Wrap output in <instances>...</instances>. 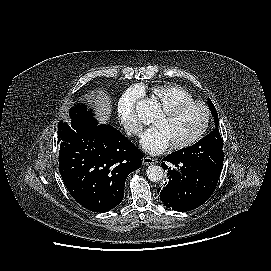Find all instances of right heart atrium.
<instances>
[{"instance_id": "obj_1", "label": "right heart atrium", "mask_w": 271, "mask_h": 271, "mask_svg": "<svg viewBox=\"0 0 271 271\" xmlns=\"http://www.w3.org/2000/svg\"><path fill=\"white\" fill-rule=\"evenodd\" d=\"M141 99V90L138 87L128 88L120 97L117 105L119 120L131 136L139 137L142 133L143 126L138 119L135 108Z\"/></svg>"}]
</instances>
